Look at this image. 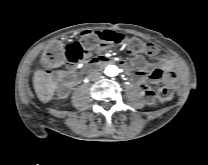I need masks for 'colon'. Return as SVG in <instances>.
<instances>
[{
    "label": "colon",
    "instance_id": "colon-1",
    "mask_svg": "<svg viewBox=\"0 0 208 165\" xmlns=\"http://www.w3.org/2000/svg\"><path fill=\"white\" fill-rule=\"evenodd\" d=\"M106 43L122 44L128 53L133 55L144 53L153 56L157 52L154 44L144 43L137 38H126L121 33L109 30H87L80 32L76 40L67 46L60 41L49 44L42 53L41 63L44 68L50 70L65 65L67 62L89 61V58L93 57L96 51ZM173 95L174 87L168 84L157 91L156 98L160 102H166L172 99Z\"/></svg>",
    "mask_w": 208,
    "mask_h": 165
}]
</instances>
